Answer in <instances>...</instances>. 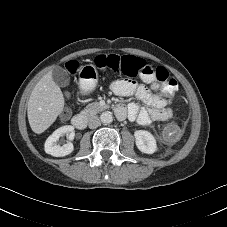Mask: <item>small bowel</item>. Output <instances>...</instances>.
Here are the masks:
<instances>
[{
	"label": "small bowel",
	"mask_w": 227,
	"mask_h": 227,
	"mask_svg": "<svg viewBox=\"0 0 227 227\" xmlns=\"http://www.w3.org/2000/svg\"><path fill=\"white\" fill-rule=\"evenodd\" d=\"M141 77L145 84L130 79H119L111 84L110 89L116 96L123 98L135 96L145 104V107L141 108L136 103H131L128 107L119 106L124 113L119 115L116 112L118 118L123 119L127 115L130 120H136L143 126L154 121L170 120L173 117V110L167 106L160 85L149 76Z\"/></svg>",
	"instance_id": "1"
}]
</instances>
